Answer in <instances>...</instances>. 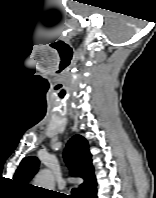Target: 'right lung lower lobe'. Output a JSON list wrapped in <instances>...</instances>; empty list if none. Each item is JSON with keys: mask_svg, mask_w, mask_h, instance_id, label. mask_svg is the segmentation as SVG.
<instances>
[{"mask_svg": "<svg viewBox=\"0 0 156 198\" xmlns=\"http://www.w3.org/2000/svg\"><path fill=\"white\" fill-rule=\"evenodd\" d=\"M84 198H97L96 190L89 194V196H84Z\"/></svg>", "mask_w": 156, "mask_h": 198, "instance_id": "right-lung-lower-lobe-1", "label": "right lung lower lobe"}]
</instances>
